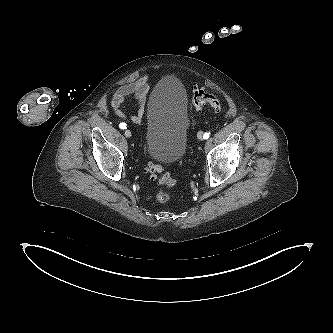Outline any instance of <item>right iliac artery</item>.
<instances>
[{
	"mask_svg": "<svg viewBox=\"0 0 333 333\" xmlns=\"http://www.w3.org/2000/svg\"><path fill=\"white\" fill-rule=\"evenodd\" d=\"M119 128L120 129H126L127 125L125 123H120Z\"/></svg>",
	"mask_w": 333,
	"mask_h": 333,
	"instance_id": "82829eb1",
	"label": "right iliac artery"
}]
</instances>
